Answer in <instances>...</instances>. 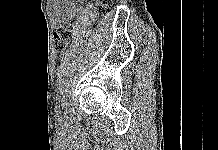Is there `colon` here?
<instances>
[{"instance_id": "obj_1", "label": "colon", "mask_w": 218, "mask_h": 150, "mask_svg": "<svg viewBox=\"0 0 218 150\" xmlns=\"http://www.w3.org/2000/svg\"><path fill=\"white\" fill-rule=\"evenodd\" d=\"M114 0H97L94 6L96 15H105L109 12L113 5ZM74 27L69 22H63L59 25L54 33V48L57 52H62L68 45Z\"/></svg>"}]
</instances>
